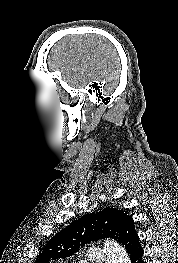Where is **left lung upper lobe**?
<instances>
[{
    "mask_svg": "<svg viewBox=\"0 0 178 263\" xmlns=\"http://www.w3.org/2000/svg\"><path fill=\"white\" fill-rule=\"evenodd\" d=\"M124 210L105 208L88 214L71 223L52 237L35 263H49L59 258L70 257L85 244L106 237L119 242L123 228L130 218Z\"/></svg>",
    "mask_w": 178,
    "mask_h": 263,
    "instance_id": "1",
    "label": "left lung upper lobe"
}]
</instances>
